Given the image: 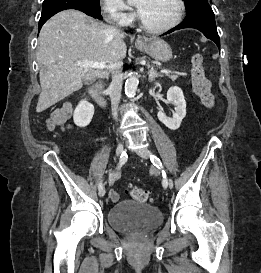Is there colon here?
<instances>
[{"label": "colon", "mask_w": 261, "mask_h": 273, "mask_svg": "<svg viewBox=\"0 0 261 273\" xmlns=\"http://www.w3.org/2000/svg\"><path fill=\"white\" fill-rule=\"evenodd\" d=\"M191 73L195 94L206 108H213L215 105V98L211 93L210 82L206 77L203 57L200 53H196L192 57ZM130 194L136 201L142 203L152 199L149 191L138 187H132L130 189Z\"/></svg>", "instance_id": "obj_1"}]
</instances>
